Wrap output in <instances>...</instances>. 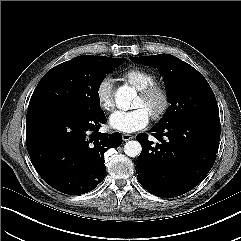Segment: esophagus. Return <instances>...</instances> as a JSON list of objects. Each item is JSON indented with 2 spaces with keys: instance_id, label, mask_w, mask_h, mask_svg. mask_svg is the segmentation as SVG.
<instances>
[{
  "instance_id": "obj_1",
  "label": "esophagus",
  "mask_w": 241,
  "mask_h": 241,
  "mask_svg": "<svg viewBox=\"0 0 241 241\" xmlns=\"http://www.w3.org/2000/svg\"><path fill=\"white\" fill-rule=\"evenodd\" d=\"M134 138V136L132 135V134H128V133H123L122 134V139L124 140V141H128V140H131V139H133Z\"/></svg>"
}]
</instances>
